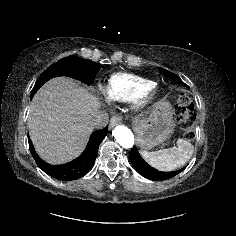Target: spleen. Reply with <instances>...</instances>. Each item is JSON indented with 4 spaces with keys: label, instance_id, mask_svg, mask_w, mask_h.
<instances>
[{
    "label": "spleen",
    "instance_id": "3e777b00",
    "mask_svg": "<svg viewBox=\"0 0 236 236\" xmlns=\"http://www.w3.org/2000/svg\"><path fill=\"white\" fill-rule=\"evenodd\" d=\"M194 146L184 139L177 140V147L155 152L141 151V156L154 168L160 171H173L191 158Z\"/></svg>",
    "mask_w": 236,
    "mask_h": 236
}]
</instances>
